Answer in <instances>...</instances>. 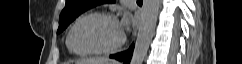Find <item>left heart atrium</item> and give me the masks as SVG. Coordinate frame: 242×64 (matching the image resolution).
Returning <instances> with one entry per match:
<instances>
[{
    "label": "left heart atrium",
    "instance_id": "39dd6f15",
    "mask_svg": "<svg viewBox=\"0 0 242 64\" xmlns=\"http://www.w3.org/2000/svg\"><path fill=\"white\" fill-rule=\"evenodd\" d=\"M125 23H126V21L124 20L123 24L119 26L121 30H122V26H123Z\"/></svg>",
    "mask_w": 242,
    "mask_h": 64
}]
</instances>
